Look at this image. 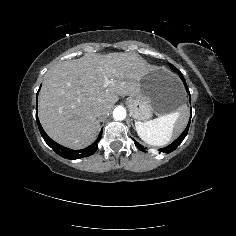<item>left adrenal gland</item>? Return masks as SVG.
<instances>
[{
	"label": "left adrenal gland",
	"mask_w": 236,
	"mask_h": 236,
	"mask_svg": "<svg viewBox=\"0 0 236 236\" xmlns=\"http://www.w3.org/2000/svg\"><path fill=\"white\" fill-rule=\"evenodd\" d=\"M131 125H132V127H133L134 131H136V128H135V126H134L133 122H131Z\"/></svg>",
	"instance_id": "a2214340"
}]
</instances>
